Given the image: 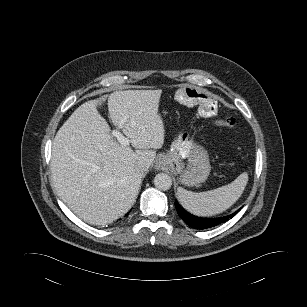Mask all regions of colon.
Instances as JSON below:
<instances>
[{
	"label": "colon",
	"instance_id": "1",
	"mask_svg": "<svg viewBox=\"0 0 307 307\" xmlns=\"http://www.w3.org/2000/svg\"><path fill=\"white\" fill-rule=\"evenodd\" d=\"M236 125V121L233 118L220 119L215 122V126L220 129H232Z\"/></svg>",
	"mask_w": 307,
	"mask_h": 307
}]
</instances>
